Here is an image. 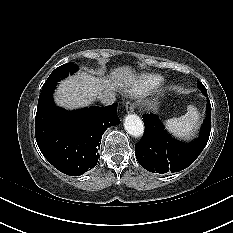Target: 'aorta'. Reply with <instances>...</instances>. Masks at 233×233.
I'll use <instances>...</instances> for the list:
<instances>
[{
  "label": "aorta",
  "instance_id": "762f6f07",
  "mask_svg": "<svg viewBox=\"0 0 233 233\" xmlns=\"http://www.w3.org/2000/svg\"><path fill=\"white\" fill-rule=\"evenodd\" d=\"M124 128L128 134L136 138L141 137L144 133L143 121L135 114H129L125 117Z\"/></svg>",
  "mask_w": 233,
  "mask_h": 233
}]
</instances>
